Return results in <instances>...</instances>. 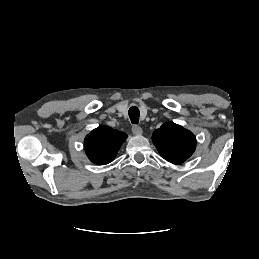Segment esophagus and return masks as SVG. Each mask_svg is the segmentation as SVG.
<instances>
[{"instance_id":"34e87169","label":"esophagus","mask_w":259,"mask_h":259,"mask_svg":"<svg viewBox=\"0 0 259 259\" xmlns=\"http://www.w3.org/2000/svg\"><path fill=\"white\" fill-rule=\"evenodd\" d=\"M132 132H133L134 135L139 136V135L142 134V129H141V127H139V126L134 125V126L132 127Z\"/></svg>"}]
</instances>
